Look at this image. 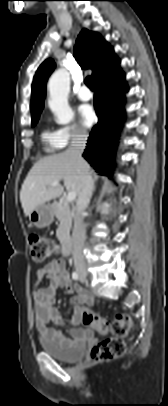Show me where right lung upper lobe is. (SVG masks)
<instances>
[{
	"label": "right lung upper lobe",
	"mask_w": 168,
	"mask_h": 406,
	"mask_svg": "<svg viewBox=\"0 0 168 406\" xmlns=\"http://www.w3.org/2000/svg\"><path fill=\"white\" fill-rule=\"evenodd\" d=\"M74 54L83 68L93 70L94 83L119 68V59L114 54L113 48L102 40L99 34L86 29H83L77 38ZM54 68V61L47 59L34 76L30 105L32 121H38L44 105L46 82Z\"/></svg>",
	"instance_id": "1"
}]
</instances>
